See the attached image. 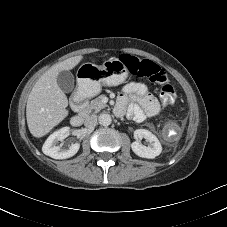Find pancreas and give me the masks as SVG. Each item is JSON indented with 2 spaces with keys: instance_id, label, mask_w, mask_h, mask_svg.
Returning a JSON list of instances; mask_svg holds the SVG:
<instances>
[{
  "instance_id": "1",
  "label": "pancreas",
  "mask_w": 227,
  "mask_h": 227,
  "mask_svg": "<svg viewBox=\"0 0 227 227\" xmlns=\"http://www.w3.org/2000/svg\"><path fill=\"white\" fill-rule=\"evenodd\" d=\"M103 96H99L95 99H93L90 104L85 108L83 111L84 114H89L91 112L97 113L103 108H105L107 105L102 101Z\"/></svg>"
}]
</instances>
